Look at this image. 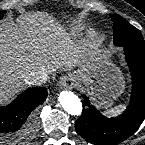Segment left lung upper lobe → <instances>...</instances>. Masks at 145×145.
<instances>
[{"label": "left lung upper lobe", "mask_w": 145, "mask_h": 145, "mask_svg": "<svg viewBox=\"0 0 145 145\" xmlns=\"http://www.w3.org/2000/svg\"><path fill=\"white\" fill-rule=\"evenodd\" d=\"M114 31V44L118 46H130L137 49L145 50V41L141 32L125 21L117 14L110 15Z\"/></svg>", "instance_id": "obj_1"}]
</instances>
